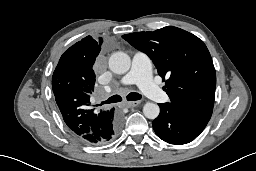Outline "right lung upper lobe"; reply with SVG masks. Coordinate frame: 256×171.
Wrapping results in <instances>:
<instances>
[{"label":"right lung upper lobe","mask_w":256,"mask_h":171,"mask_svg":"<svg viewBox=\"0 0 256 171\" xmlns=\"http://www.w3.org/2000/svg\"><path fill=\"white\" fill-rule=\"evenodd\" d=\"M101 43L87 36L71 46L61 56L52 77L56 103L66 125L78 138L96 134L113 113V108L98 110L90 103L95 84L92 66Z\"/></svg>","instance_id":"1"}]
</instances>
